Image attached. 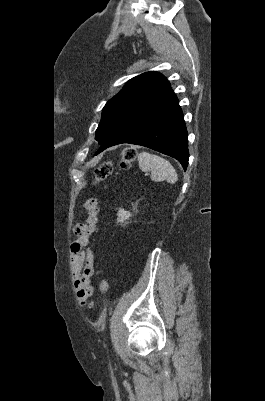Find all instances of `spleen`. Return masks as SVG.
I'll list each match as a JSON object with an SVG mask.
<instances>
[{"mask_svg": "<svg viewBox=\"0 0 265 401\" xmlns=\"http://www.w3.org/2000/svg\"><path fill=\"white\" fill-rule=\"evenodd\" d=\"M138 164L143 170V172L150 171L152 180H167L170 184H174L178 178V174L166 160V158H162V156H157V154H150V152H139L138 154Z\"/></svg>", "mask_w": 265, "mask_h": 401, "instance_id": "spleen-1", "label": "spleen"}]
</instances>
